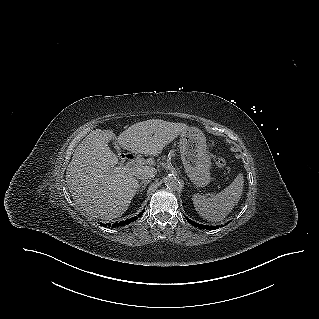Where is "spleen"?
<instances>
[{"instance_id": "spleen-1", "label": "spleen", "mask_w": 319, "mask_h": 319, "mask_svg": "<svg viewBox=\"0 0 319 319\" xmlns=\"http://www.w3.org/2000/svg\"><path fill=\"white\" fill-rule=\"evenodd\" d=\"M243 174H238L234 181L213 197L194 194L192 201L198 214L212 222L222 221L237 205L243 193Z\"/></svg>"}]
</instances>
